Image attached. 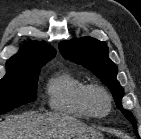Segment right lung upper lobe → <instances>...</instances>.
<instances>
[{
    "mask_svg": "<svg viewBox=\"0 0 141 139\" xmlns=\"http://www.w3.org/2000/svg\"><path fill=\"white\" fill-rule=\"evenodd\" d=\"M56 55V51L50 45L30 41L23 45L19 52L6 62L7 69L27 66H43Z\"/></svg>",
    "mask_w": 141,
    "mask_h": 139,
    "instance_id": "1",
    "label": "right lung upper lobe"
}]
</instances>
